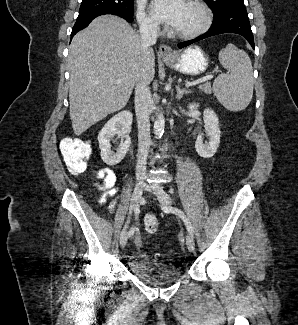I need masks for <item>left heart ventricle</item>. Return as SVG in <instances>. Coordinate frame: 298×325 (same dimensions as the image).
I'll return each instance as SVG.
<instances>
[{"mask_svg":"<svg viewBox=\"0 0 298 325\" xmlns=\"http://www.w3.org/2000/svg\"><path fill=\"white\" fill-rule=\"evenodd\" d=\"M199 23L200 17L195 8L189 2L183 1L179 20L170 29L177 33L186 32L195 29Z\"/></svg>","mask_w":298,"mask_h":325,"instance_id":"1","label":"left heart ventricle"}]
</instances>
